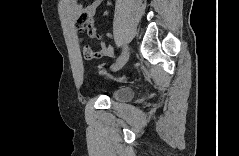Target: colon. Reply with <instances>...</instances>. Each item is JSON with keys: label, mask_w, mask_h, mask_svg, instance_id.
I'll return each mask as SVG.
<instances>
[{"label": "colon", "mask_w": 239, "mask_h": 156, "mask_svg": "<svg viewBox=\"0 0 239 156\" xmlns=\"http://www.w3.org/2000/svg\"><path fill=\"white\" fill-rule=\"evenodd\" d=\"M80 19H81V21H86V20L88 19L87 14H86V13H82ZM80 30L83 32V30H84L83 27H80ZM98 73H99L100 75H104L106 72H105L104 69L99 68ZM122 79H123V78H122Z\"/></svg>", "instance_id": "obj_1"}]
</instances>
